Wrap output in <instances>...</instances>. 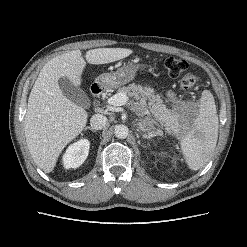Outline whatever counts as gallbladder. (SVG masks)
<instances>
[{"label":"gallbladder","mask_w":247,"mask_h":247,"mask_svg":"<svg viewBox=\"0 0 247 247\" xmlns=\"http://www.w3.org/2000/svg\"><path fill=\"white\" fill-rule=\"evenodd\" d=\"M58 84L62 94L66 98L83 108H88L90 106V100L87 94L82 89L75 86L67 77L60 78Z\"/></svg>","instance_id":"gallbladder-1"}]
</instances>
